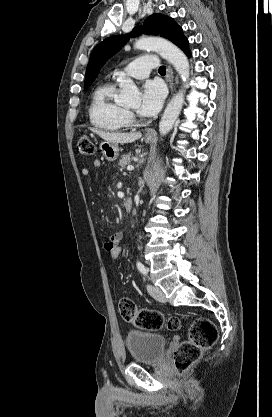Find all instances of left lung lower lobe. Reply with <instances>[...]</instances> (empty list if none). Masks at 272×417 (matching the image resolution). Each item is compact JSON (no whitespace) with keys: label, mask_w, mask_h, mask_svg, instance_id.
I'll use <instances>...</instances> for the list:
<instances>
[{"label":"left lung lower lobe","mask_w":272,"mask_h":417,"mask_svg":"<svg viewBox=\"0 0 272 417\" xmlns=\"http://www.w3.org/2000/svg\"><path fill=\"white\" fill-rule=\"evenodd\" d=\"M185 52V54L188 56V57H190V55H191V52H190V50L188 49V50H186V51H184Z\"/></svg>","instance_id":"left-lung-lower-lobe-1"}]
</instances>
